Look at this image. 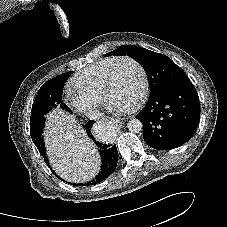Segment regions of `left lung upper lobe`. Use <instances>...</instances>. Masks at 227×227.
Returning a JSON list of instances; mask_svg holds the SVG:
<instances>
[{"label": "left lung upper lobe", "mask_w": 227, "mask_h": 227, "mask_svg": "<svg viewBox=\"0 0 227 227\" xmlns=\"http://www.w3.org/2000/svg\"><path fill=\"white\" fill-rule=\"evenodd\" d=\"M106 55H129L145 69L150 86V94L183 78L184 71L167 56L139 46L123 45Z\"/></svg>", "instance_id": "1"}]
</instances>
